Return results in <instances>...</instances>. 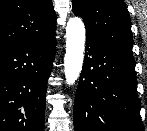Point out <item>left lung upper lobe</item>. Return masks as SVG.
<instances>
[{
	"mask_svg": "<svg viewBox=\"0 0 147 131\" xmlns=\"http://www.w3.org/2000/svg\"><path fill=\"white\" fill-rule=\"evenodd\" d=\"M72 9L83 18L87 38L133 56L130 16L123 0H73Z\"/></svg>",
	"mask_w": 147,
	"mask_h": 131,
	"instance_id": "left-lung-upper-lobe-1",
	"label": "left lung upper lobe"
}]
</instances>
